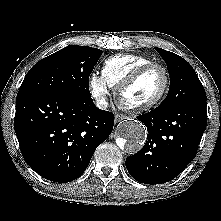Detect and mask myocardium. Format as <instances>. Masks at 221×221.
I'll use <instances>...</instances> for the list:
<instances>
[{"label":"myocardium","mask_w":221,"mask_h":221,"mask_svg":"<svg viewBox=\"0 0 221 221\" xmlns=\"http://www.w3.org/2000/svg\"><path fill=\"white\" fill-rule=\"evenodd\" d=\"M152 68H160L164 74V85L160 93L152 100L142 103V104H129L123 100V95L125 91L133 86L147 71ZM170 87V74L168 69L161 63L152 62L143 65L131 73L127 78H125L116 88L115 98L118 106L126 111L130 112H143L150 110L157 106L166 96Z\"/></svg>","instance_id":"myocardium-1"}]
</instances>
